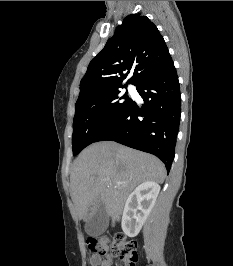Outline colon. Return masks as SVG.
I'll return each instance as SVG.
<instances>
[{
    "mask_svg": "<svg viewBox=\"0 0 233 266\" xmlns=\"http://www.w3.org/2000/svg\"><path fill=\"white\" fill-rule=\"evenodd\" d=\"M87 243L89 248L99 256L110 257L117 254L124 259L128 266H136L138 261L137 244L133 240H126L124 236L116 235L114 237H92L88 239Z\"/></svg>",
    "mask_w": 233,
    "mask_h": 266,
    "instance_id": "1",
    "label": "colon"
}]
</instances>
